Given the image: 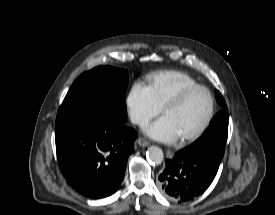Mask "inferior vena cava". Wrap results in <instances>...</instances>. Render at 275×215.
Instances as JSON below:
<instances>
[{
  "mask_svg": "<svg viewBox=\"0 0 275 215\" xmlns=\"http://www.w3.org/2000/svg\"><path fill=\"white\" fill-rule=\"evenodd\" d=\"M132 122L139 123V122H141V119L134 117V118H132Z\"/></svg>",
  "mask_w": 275,
  "mask_h": 215,
  "instance_id": "obj_1",
  "label": "inferior vena cava"
}]
</instances>
